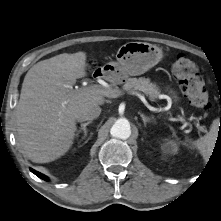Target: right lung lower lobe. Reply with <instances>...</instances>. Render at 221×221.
Listing matches in <instances>:
<instances>
[{
    "label": "right lung lower lobe",
    "instance_id": "right-lung-lower-lobe-1",
    "mask_svg": "<svg viewBox=\"0 0 221 221\" xmlns=\"http://www.w3.org/2000/svg\"><path fill=\"white\" fill-rule=\"evenodd\" d=\"M31 170V172L32 173H34L36 176H38L39 178H41V179H43V180H48V177L47 176H45V175H43V174H41V173H39V172H37V171H35V170H33V169H30Z\"/></svg>",
    "mask_w": 221,
    "mask_h": 221
}]
</instances>
